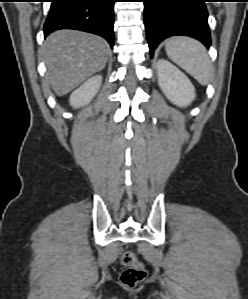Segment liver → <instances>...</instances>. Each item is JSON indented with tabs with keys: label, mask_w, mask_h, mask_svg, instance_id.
Returning a JSON list of instances; mask_svg holds the SVG:
<instances>
[{
	"label": "liver",
	"mask_w": 248,
	"mask_h": 299,
	"mask_svg": "<svg viewBox=\"0 0 248 299\" xmlns=\"http://www.w3.org/2000/svg\"><path fill=\"white\" fill-rule=\"evenodd\" d=\"M43 52L46 78L53 91L63 96L105 67L110 47L97 35L59 30L47 37Z\"/></svg>",
	"instance_id": "6515ba94"
}]
</instances>
